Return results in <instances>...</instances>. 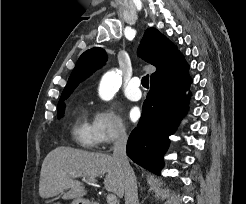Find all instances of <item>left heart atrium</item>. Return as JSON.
<instances>
[{"label":"left heart atrium","instance_id":"39dd6f15","mask_svg":"<svg viewBox=\"0 0 246 204\" xmlns=\"http://www.w3.org/2000/svg\"><path fill=\"white\" fill-rule=\"evenodd\" d=\"M128 117L131 122H137L141 117V111L138 107H132L129 110Z\"/></svg>","mask_w":246,"mask_h":204}]
</instances>
